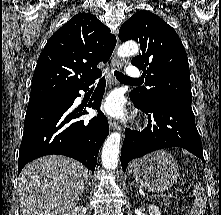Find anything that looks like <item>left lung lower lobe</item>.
I'll return each instance as SVG.
<instances>
[{"instance_id": "0a47b994", "label": "left lung lower lobe", "mask_w": 221, "mask_h": 215, "mask_svg": "<svg viewBox=\"0 0 221 215\" xmlns=\"http://www.w3.org/2000/svg\"><path fill=\"white\" fill-rule=\"evenodd\" d=\"M135 107L148 115V126L141 132L126 129L121 149V166L134 158L168 147H181L199 157L203 162V148L191 107L171 103L144 105L132 95Z\"/></svg>"}]
</instances>
